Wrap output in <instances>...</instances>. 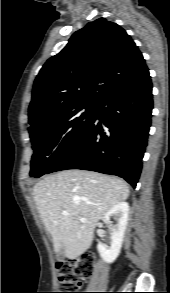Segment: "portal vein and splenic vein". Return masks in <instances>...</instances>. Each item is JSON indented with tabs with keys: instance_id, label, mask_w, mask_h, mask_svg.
I'll return each mask as SVG.
<instances>
[{
	"instance_id": "portal-vein-and-splenic-vein-1",
	"label": "portal vein and splenic vein",
	"mask_w": 170,
	"mask_h": 293,
	"mask_svg": "<svg viewBox=\"0 0 170 293\" xmlns=\"http://www.w3.org/2000/svg\"><path fill=\"white\" fill-rule=\"evenodd\" d=\"M62 214H63L64 216H68V215H69V213H68L67 211H63Z\"/></svg>"
}]
</instances>
